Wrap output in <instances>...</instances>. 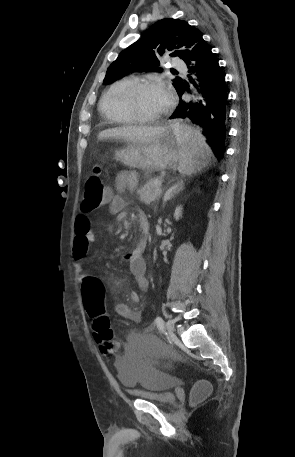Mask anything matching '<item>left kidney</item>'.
I'll list each match as a JSON object with an SVG mask.
<instances>
[{"label": "left kidney", "instance_id": "obj_1", "mask_svg": "<svg viewBox=\"0 0 295 457\" xmlns=\"http://www.w3.org/2000/svg\"><path fill=\"white\" fill-rule=\"evenodd\" d=\"M182 216V206H178L175 210L174 217L176 220H179V218Z\"/></svg>", "mask_w": 295, "mask_h": 457}]
</instances>
